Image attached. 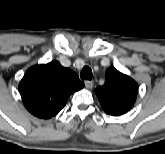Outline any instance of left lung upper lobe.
Segmentation results:
<instances>
[{
    "instance_id": "left-lung-upper-lobe-1",
    "label": "left lung upper lobe",
    "mask_w": 165,
    "mask_h": 154,
    "mask_svg": "<svg viewBox=\"0 0 165 154\" xmlns=\"http://www.w3.org/2000/svg\"><path fill=\"white\" fill-rule=\"evenodd\" d=\"M95 93L103 110L107 114L118 116L132 108L138 85L129 76L110 67L106 71L105 84L96 88Z\"/></svg>"
}]
</instances>
